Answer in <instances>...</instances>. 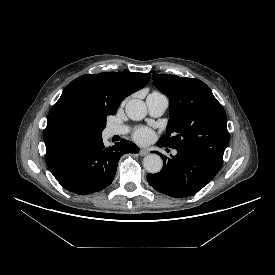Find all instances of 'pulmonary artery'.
I'll return each instance as SVG.
<instances>
[{"instance_id":"e3ab8cb5","label":"pulmonary artery","mask_w":275,"mask_h":275,"mask_svg":"<svg viewBox=\"0 0 275 275\" xmlns=\"http://www.w3.org/2000/svg\"><path fill=\"white\" fill-rule=\"evenodd\" d=\"M146 104L149 114L153 117H159L166 111L168 99L163 94L153 92L147 96ZM127 131L128 128L124 126H109L106 132L108 136H115L125 134ZM172 153L176 155L177 151L173 150Z\"/></svg>"}]
</instances>
